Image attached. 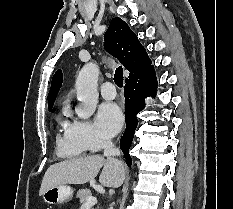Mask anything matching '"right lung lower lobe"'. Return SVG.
Instances as JSON below:
<instances>
[{
	"label": "right lung lower lobe",
	"mask_w": 233,
	"mask_h": 209,
	"mask_svg": "<svg viewBox=\"0 0 233 209\" xmlns=\"http://www.w3.org/2000/svg\"><path fill=\"white\" fill-rule=\"evenodd\" d=\"M157 89V80L154 68L151 67L144 74L129 80L125 84V121L126 130L121 137L120 147L124 153L126 163L131 165V157L128 154L134 132L138 124L137 113L145 107V98L154 96Z\"/></svg>",
	"instance_id": "98d812e1"
}]
</instances>
